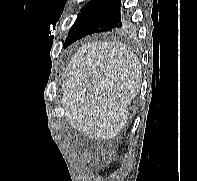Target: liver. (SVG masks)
Instances as JSON below:
<instances>
[{
  "label": "liver",
  "instance_id": "obj_1",
  "mask_svg": "<svg viewBox=\"0 0 197 181\" xmlns=\"http://www.w3.org/2000/svg\"><path fill=\"white\" fill-rule=\"evenodd\" d=\"M141 82L142 65L125 44H83L65 69L61 103L66 121L88 138H114L127 122V107Z\"/></svg>",
  "mask_w": 197,
  "mask_h": 181
}]
</instances>
